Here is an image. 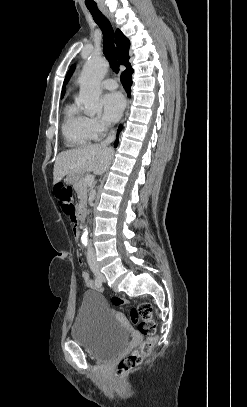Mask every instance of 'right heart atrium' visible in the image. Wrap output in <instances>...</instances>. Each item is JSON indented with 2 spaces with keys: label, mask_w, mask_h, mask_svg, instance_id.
<instances>
[{
  "label": "right heart atrium",
  "mask_w": 247,
  "mask_h": 407,
  "mask_svg": "<svg viewBox=\"0 0 247 407\" xmlns=\"http://www.w3.org/2000/svg\"><path fill=\"white\" fill-rule=\"evenodd\" d=\"M89 128L94 139L100 138L107 129V124L101 118H88Z\"/></svg>",
  "instance_id": "right-heart-atrium-1"
}]
</instances>
